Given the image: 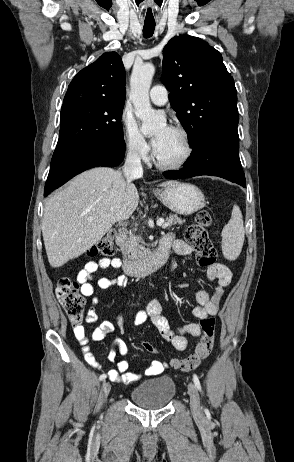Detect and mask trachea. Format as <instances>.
I'll list each match as a JSON object with an SVG mask.
<instances>
[{
    "mask_svg": "<svg viewBox=\"0 0 294 462\" xmlns=\"http://www.w3.org/2000/svg\"><path fill=\"white\" fill-rule=\"evenodd\" d=\"M155 30V23L153 22H145L143 27V36L145 38H149L153 35Z\"/></svg>",
    "mask_w": 294,
    "mask_h": 462,
    "instance_id": "3493384b",
    "label": "trachea"
}]
</instances>
